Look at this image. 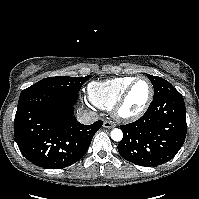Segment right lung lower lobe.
Returning <instances> with one entry per match:
<instances>
[{
    "label": "right lung lower lobe",
    "instance_id": "obj_1",
    "mask_svg": "<svg viewBox=\"0 0 199 199\" xmlns=\"http://www.w3.org/2000/svg\"><path fill=\"white\" fill-rule=\"evenodd\" d=\"M77 98L43 92L20 95L14 135L27 160L43 168L60 169L84 156L103 122L79 123L73 115Z\"/></svg>",
    "mask_w": 199,
    "mask_h": 199
}]
</instances>
